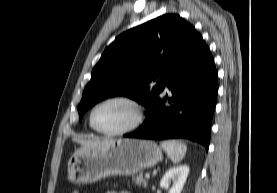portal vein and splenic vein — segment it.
Listing matches in <instances>:
<instances>
[{
  "instance_id": "portal-vein-and-splenic-vein-1",
  "label": "portal vein and splenic vein",
  "mask_w": 277,
  "mask_h": 193,
  "mask_svg": "<svg viewBox=\"0 0 277 193\" xmlns=\"http://www.w3.org/2000/svg\"><path fill=\"white\" fill-rule=\"evenodd\" d=\"M145 177H146L147 179H149V178H150V174L147 173V174L145 175Z\"/></svg>"
}]
</instances>
